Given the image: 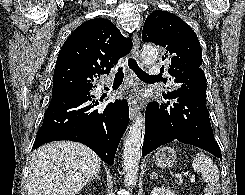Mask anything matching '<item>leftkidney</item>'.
Masks as SVG:
<instances>
[{
    "instance_id": "5707ae66",
    "label": "left kidney",
    "mask_w": 245,
    "mask_h": 195,
    "mask_svg": "<svg viewBox=\"0 0 245 195\" xmlns=\"http://www.w3.org/2000/svg\"><path fill=\"white\" fill-rule=\"evenodd\" d=\"M150 195H176L172 190L165 187H155Z\"/></svg>"
}]
</instances>
